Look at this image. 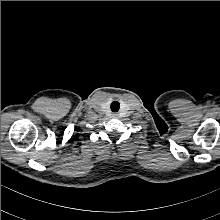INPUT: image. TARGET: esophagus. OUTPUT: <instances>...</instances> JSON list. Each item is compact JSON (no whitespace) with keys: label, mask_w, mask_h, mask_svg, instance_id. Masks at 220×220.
<instances>
[{"label":"esophagus","mask_w":220,"mask_h":220,"mask_svg":"<svg viewBox=\"0 0 220 220\" xmlns=\"http://www.w3.org/2000/svg\"><path fill=\"white\" fill-rule=\"evenodd\" d=\"M112 116H113V117H117L118 114H117V113H113Z\"/></svg>","instance_id":"34e87169"}]
</instances>
